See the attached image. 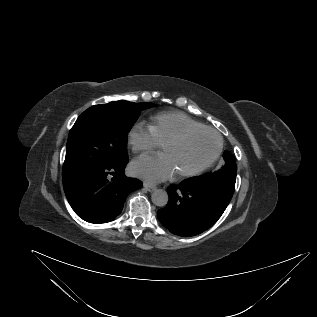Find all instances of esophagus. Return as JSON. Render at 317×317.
<instances>
[{
  "label": "esophagus",
  "instance_id": "obj_1",
  "mask_svg": "<svg viewBox=\"0 0 317 317\" xmlns=\"http://www.w3.org/2000/svg\"><path fill=\"white\" fill-rule=\"evenodd\" d=\"M144 188L145 190L152 192L156 189V186L149 183H144Z\"/></svg>",
  "mask_w": 317,
  "mask_h": 317
}]
</instances>
